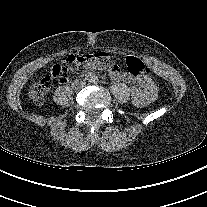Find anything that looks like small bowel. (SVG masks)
I'll return each instance as SVG.
<instances>
[{
    "instance_id": "small-bowel-1",
    "label": "small bowel",
    "mask_w": 207,
    "mask_h": 207,
    "mask_svg": "<svg viewBox=\"0 0 207 207\" xmlns=\"http://www.w3.org/2000/svg\"><path fill=\"white\" fill-rule=\"evenodd\" d=\"M94 69L107 70L111 78L117 82L131 83L135 81L137 86H133L129 89L130 98L135 105L145 107L154 102L157 95V87L150 77L143 76L134 79L128 73L123 72L120 67L115 64L108 68ZM57 80L59 83L64 84L67 82V77L63 75L58 77Z\"/></svg>"
}]
</instances>
